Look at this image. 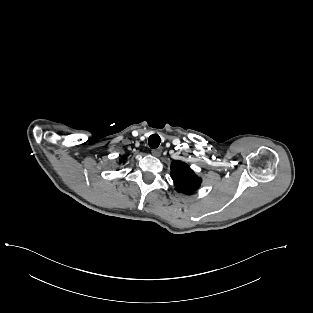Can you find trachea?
I'll return each instance as SVG.
<instances>
[{
	"instance_id": "3493384b",
	"label": "trachea",
	"mask_w": 313,
	"mask_h": 313,
	"mask_svg": "<svg viewBox=\"0 0 313 313\" xmlns=\"http://www.w3.org/2000/svg\"><path fill=\"white\" fill-rule=\"evenodd\" d=\"M160 142H161V138L158 134H152L149 137V146L152 149H156L160 145Z\"/></svg>"
}]
</instances>
